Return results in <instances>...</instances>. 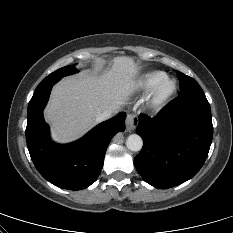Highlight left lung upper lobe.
<instances>
[{"label":"left lung upper lobe","mask_w":233,"mask_h":233,"mask_svg":"<svg viewBox=\"0 0 233 233\" xmlns=\"http://www.w3.org/2000/svg\"><path fill=\"white\" fill-rule=\"evenodd\" d=\"M180 81V91L182 94L193 93V92H203L199 84L191 77L177 72Z\"/></svg>","instance_id":"5c2ea615"}]
</instances>
